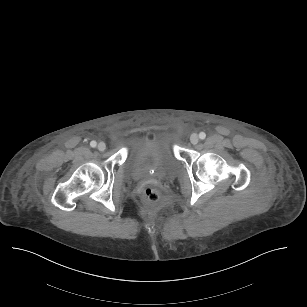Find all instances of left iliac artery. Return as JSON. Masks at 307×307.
I'll use <instances>...</instances> for the list:
<instances>
[{
    "label": "left iliac artery",
    "mask_w": 307,
    "mask_h": 307,
    "mask_svg": "<svg viewBox=\"0 0 307 307\" xmlns=\"http://www.w3.org/2000/svg\"><path fill=\"white\" fill-rule=\"evenodd\" d=\"M199 138L202 139V140L205 139L206 138V134L204 132H200L199 133Z\"/></svg>",
    "instance_id": "44dca946"
}]
</instances>
